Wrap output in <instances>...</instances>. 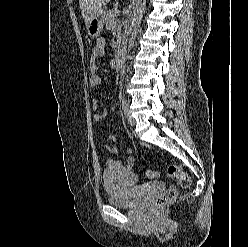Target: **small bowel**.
Listing matches in <instances>:
<instances>
[{
	"instance_id": "1",
	"label": "small bowel",
	"mask_w": 248,
	"mask_h": 247,
	"mask_svg": "<svg viewBox=\"0 0 248 247\" xmlns=\"http://www.w3.org/2000/svg\"><path fill=\"white\" fill-rule=\"evenodd\" d=\"M105 40L104 39H98L96 42V45L92 49L91 52V58H90V69H91V76H90V85L92 87L99 86L102 82V79L100 75L96 72L97 71V66H96V60L98 58H101L105 54ZM92 109L96 111L99 108V102L97 100L92 102L91 105ZM109 114L108 110H104L103 112L96 113L94 116V119L96 122H101L105 117ZM110 139L115 142L116 137L115 136H110ZM106 150L111 153V154H116L117 152V147L115 145L111 144H105ZM127 153V159L124 163L122 161L111 157L107 160V164L109 166H119L122 165L125 169L131 171L134 166V159L132 157V150L130 148H127L126 150Z\"/></svg>"
}]
</instances>
